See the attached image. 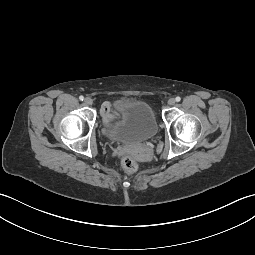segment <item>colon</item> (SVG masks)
Here are the masks:
<instances>
[{
    "instance_id": "5ec220e1",
    "label": "colon",
    "mask_w": 255,
    "mask_h": 255,
    "mask_svg": "<svg viewBox=\"0 0 255 255\" xmlns=\"http://www.w3.org/2000/svg\"><path fill=\"white\" fill-rule=\"evenodd\" d=\"M121 163L126 173L134 174L137 171L138 165L136 160L132 156H123Z\"/></svg>"
}]
</instances>
